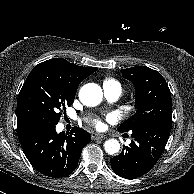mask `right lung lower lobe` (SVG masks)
Instances as JSON below:
<instances>
[{
	"instance_id": "1",
	"label": "right lung lower lobe",
	"mask_w": 194,
	"mask_h": 194,
	"mask_svg": "<svg viewBox=\"0 0 194 194\" xmlns=\"http://www.w3.org/2000/svg\"><path fill=\"white\" fill-rule=\"evenodd\" d=\"M21 147L40 173L52 178L70 175L77 167L81 151L91 141L85 130L74 127L70 134L57 133L55 125L29 124L18 129Z\"/></svg>"
}]
</instances>
